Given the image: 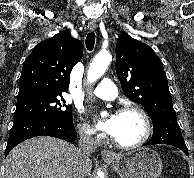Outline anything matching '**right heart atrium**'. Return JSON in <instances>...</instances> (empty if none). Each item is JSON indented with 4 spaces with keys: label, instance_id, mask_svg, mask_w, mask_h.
<instances>
[{
    "label": "right heart atrium",
    "instance_id": "obj_1",
    "mask_svg": "<svg viewBox=\"0 0 194 178\" xmlns=\"http://www.w3.org/2000/svg\"><path fill=\"white\" fill-rule=\"evenodd\" d=\"M78 133L80 137L87 142H98L101 138V136L83 120L78 124Z\"/></svg>",
    "mask_w": 194,
    "mask_h": 178
}]
</instances>
